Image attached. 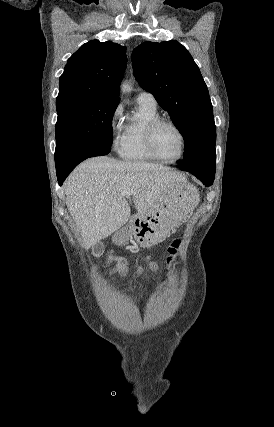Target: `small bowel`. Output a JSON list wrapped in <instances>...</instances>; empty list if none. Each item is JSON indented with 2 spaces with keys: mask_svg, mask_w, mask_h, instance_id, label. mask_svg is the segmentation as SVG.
Instances as JSON below:
<instances>
[{
  "mask_svg": "<svg viewBox=\"0 0 274 427\" xmlns=\"http://www.w3.org/2000/svg\"><path fill=\"white\" fill-rule=\"evenodd\" d=\"M179 250H182V247H179L178 245H169L168 246V251L169 252H178ZM167 260L168 261H173L174 260V255L173 254H168L167 255ZM167 275L168 276H171L172 275V272L171 271H168L167 272ZM164 284V282L162 283V285ZM154 299V298H153Z\"/></svg>",
  "mask_w": 274,
  "mask_h": 427,
  "instance_id": "small-bowel-1",
  "label": "small bowel"
}]
</instances>
